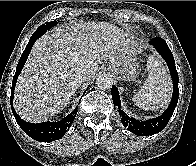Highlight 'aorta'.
<instances>
[{"mask_svg":"<svg viewBox=\"0 0 196 166\" xmlns=\"http://www.w3.org/2000/svg\"><path fill=\"white\" fill-rule=\"evenodd\" d=\"M96 85L100 89L111 88L113 85V76L110 73H101L96 78Z\"/></svg>","mask_w":196,"mask_h":166,"instance_id":"762f6f07","label":"aorta"}]
</instances>
